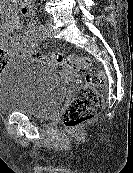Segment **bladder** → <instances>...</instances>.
Here are the masks:
<instances>
[{
    "mask_svg": "<svg viewBox=\"0 0 133 173\" xmlns=\"http://www.w3.org/2000/svg\"><path fill=\"white\" fill-rule=\"evenodd\" d=\"M67 94L60 71L30 58L13 59L0 73V113L51 118Z\"/></svg>",
    "mask_w": 133,
    "mask_h": 173,
    "instance_id": "obj_1",
    "label": "bladder"
}]
</instances>
